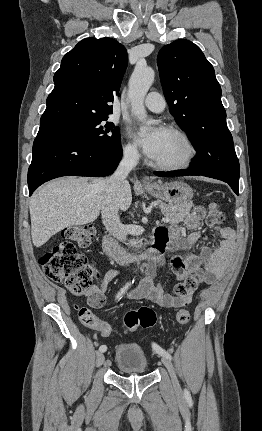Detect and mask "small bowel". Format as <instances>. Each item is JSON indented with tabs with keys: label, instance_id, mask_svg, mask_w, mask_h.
Returning a JSON list of instances; mask_svg holds the SVG:
<instances>
[{
	"label": "small bowel",
	"instance_id": "small-bowel-1",
	"mask_svg": "<svg viewBox=\"0 0 262 431\" xmlns=\"http://www.w3.org/2000/svg\"><path fill=\"white\" fill-rule=\"evenodd\" d=\"M204 216L205 212L196 208L183 220L184 226L191 231L187 236L181 235L180 224L160 226L155 230V236L160 239L161 248L167 247V249L174 252L170 259V265L177 281L194 276L200 284L210 285L215 283L229 266L234 246V232L226 226H212V229L222 237V242L218 249L211 250L209 247L201 245L198 255L181 254L182 251L191 250L197 245L201 237L200 224ZM166 263L167 258L163 252L153 256L143 266L144 279L140 286L129 292L125 297L132 299L145 298L160 308H178L189 301L193 293L186 299L173 296L165 292L162 284L156 280L158 270L164 267ZM117 275L118 270L111 269L100 284L93 285L88 289L86 295L89 307L98 308L105 303L107 287ZM118 295L120 296L118 297ZM123 296L124 293L119 291L114 300L119 301ZM86 310L90 312L89 309Z\"/></svg>",
	"mask_w": 262,
	"mask_h": 431
}]
</instances>
